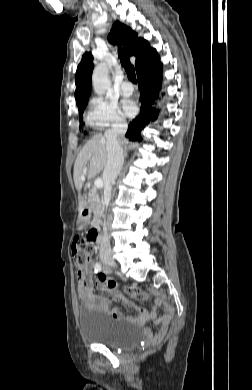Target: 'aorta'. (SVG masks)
<instances>
[{
  "label": "aorta",
  "mask_w": 252,
  "mask_h": 390,
  "mask_svg": "<svg viewBox=\"0 0 252 390\" xmlns=\"http://www.w3.org/2000/svg\"><path fill=\"white\" fill-rule=\"evenodd\" d=\"M93 89L97 95H103L111 87L109 67L105 63L98 64L92 75Z\"/></svg>",
  "instance_id": "aorta-1"
}]
</instances>
